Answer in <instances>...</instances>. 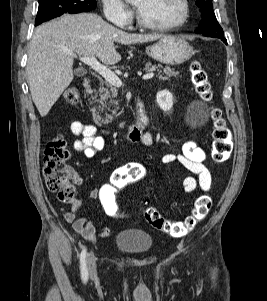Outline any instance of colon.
<instances>
[{"mask_svg": "<svg viewBox=\"0 0 267 301\" xmlns=\"http://www.w3.org/2000/svg\"><path fill=\"white\" fill-rule=\"evenodd\" d=\"M191 81L196 93L204 101L211 99V86L208 75L198 61L190 65ZM64 100L76 104L79 91L76 87H68L63 93ZM214 122L212 159L216 163L225 162L233 149L232 133L222 117L221 111L212 109ZM69 159L67 143L62 135L50 139L44 150L43 175L47 188L56 193L63 203H71L75 198V187L70 170L65 167ZM148 176L147 168L140 163L131 162L118 167L109 182L98 189L97 201L103 213L112 219H121L124 213L120 208V197L131 185L144 180ZM212 199L209 195H200L194 202L192 212L183 221H171L164 218L155 208L146 207L145 220L154 228L166 232L173 237H181L190 232L209 213Z\"/></svg>", "mask_w": 267, "mask_h": 301, "instance_id": "colon-1", "label": "colon"}]
</instances>
